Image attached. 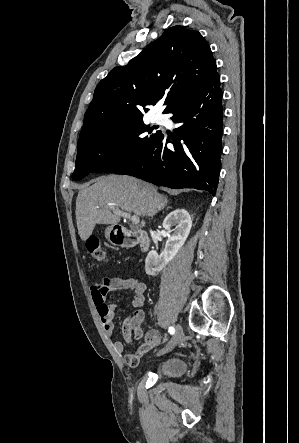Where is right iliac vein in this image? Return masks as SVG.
Masks as SVG:
<instances>
[{
	"instance_id": "obj_1",
	"label": "right iliac vein",
	"mask_w": 299,
	"mask_h": 443,
	"mask_svg": "<svg viewBox=\"0 0 299 443\" xmlns=\"http://www.w3.org/2000/svg\"><path fill=\"white\" fill-rule=\"evenodd\" d=\"M182 335H183V330H182L181 326L177 325L175 334L173 335L171 340L168 342L166 347L159 354L161 355V354H165V353L172 351L180 342Z\"/></svg>"
}]
</instances>
